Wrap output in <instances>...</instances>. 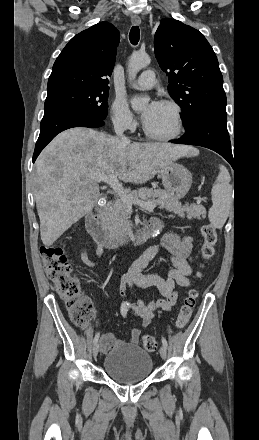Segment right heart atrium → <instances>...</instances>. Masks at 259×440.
Listing matches in <instances>:
<instances>
[{
  "mask_svg": "<svg viewBox=\"0 0 259 440\" xmlns=\"http://www.w3.org/2000/svg\"><path fill=\"white\" fill-rule=\"evenodd\" d=\"M112 125L120 131H132L137 126V121L127 102L122 98H115L110 106Z\"/></svg>",
  "mask_w": 259,
  "mask_h": 440,
  "instance_id": "obj_1",
  "label": "right heart atrium"
}]
</instances>
